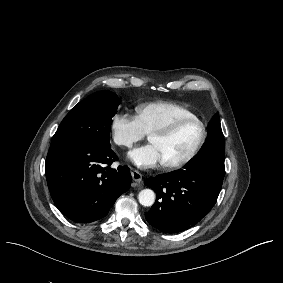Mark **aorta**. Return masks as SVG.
I'll use <instances>...</instances> for the list:
<instances>
[{
	"instance_id": "762f6f07",
	"label": "aorta",
	"mask_w": 283,
	"mask_h": 283,
	"mask_svg": "<svg viewBox=\"0 0 283 283\" xmlns=\"http://www.w3.org/2000/svg\"><path fill=\"white\" fill-rule=\"evenodd\" d=\"M138 200L142 206L150 207L155 202V193L151 189H143L138 194Z\"/></svg>"
}]
</instances>
